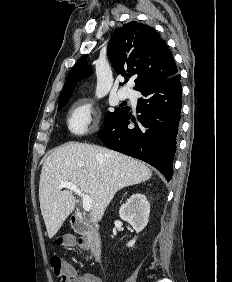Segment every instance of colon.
I'll use <instances>...</instances> for the list:
<instances>
[{
	"label": "colon",
	"mask_w": 232,
	"mask_h": 282,
	"mask_svg": "<svg viewBox=\"0 0 232 282\" xmlns=\"http://www.w3.org/2000/svg\"><path fill=\"white\" fill-rule=\"evenodd\" d=\"M60 243L64 245H72L73 240L70 238H61ZM50 264L55 276L59 282H70L72 276V266L68 264L60 256L53 255L50 258Z\"/></svg>",
	"instance_id": "5ec220e1"
}]
</instances>
